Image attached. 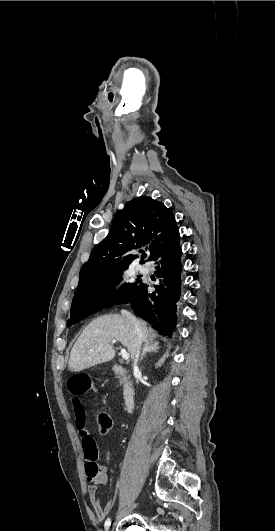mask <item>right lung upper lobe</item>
<instances>
[{
	"instance_id": "obj_1",
	"label": "right lung upper lobe",
	"mask_w": 275,
	"mask_h": 531,
	"mask_svg": "<svg viewBox=\"0 0 275 531\" xmlns=\"http://www.w3.org/2000/svg\"><path fill=\"white\" fill-rule=\"evenodd\" d=\"M176 228L173 213L163 203L147 196L127 202L116 213L107 237L94 247L82 266L77 288L95 277L127 267L136 258L128 254L134 249L146 246L151 257Z\"/></svg>"
}]
</instances>
